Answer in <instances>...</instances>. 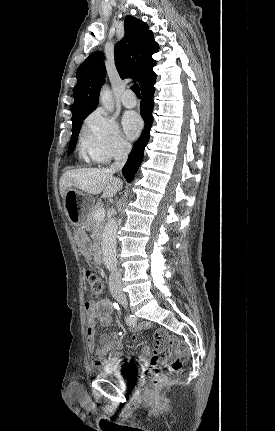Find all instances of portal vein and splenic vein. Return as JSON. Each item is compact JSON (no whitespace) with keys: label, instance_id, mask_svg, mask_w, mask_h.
I'll list each match as a JSON object with an SVG mask.
<instances>
[{"label":"portal vein and splenic vein","instance_id":"18ae733b","mask_svg":"<svg viewBox=\"0 0 275 431\" xmlns=\"http://www.w3.org/2000/svg\"><path fill=\"white\" fill-rule=\"evenodd\" d=\"M105 217V209L104 208H98L94 213V218L96 220H103Z\"/></svg>","mask_w":275,"mask_h":431}]
</instances>
